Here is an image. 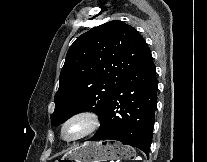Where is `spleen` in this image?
<instances>
[{
	"mask_svg": "<svg viewBox=\"0 0 207 162\" xmlns=\"http://www.w3.org/2000/svg\"><path fill=\"white\" fill-rule=\"evenodd\" d=\"M135 160H141V157H136Z\"/></svg>",
	"mask_w": 207,
	"mask_h": 162,
	"instance_id": "3e777b00",
	"label": "spleen"
}]
</instances>
